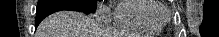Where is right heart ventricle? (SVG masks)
<instances>
[{"mask_svg": "<svg viewBox=\"0 0 219 37\" xmlns=\"http://www.w3.org/2000/svg\"><path fill=\"white\" fill-rule=\"evenodd\" d=\"M161 4L153 0H122L116 6L113 25L124 30L157 34L163 22L156 18Z\"/></svg>", "mask_w": 219, "mask_h": 37, "instance_id": "1", "label": "right heart ventricle"}]
</instances>
